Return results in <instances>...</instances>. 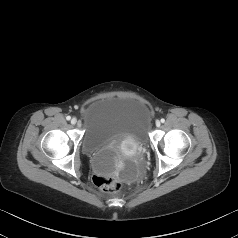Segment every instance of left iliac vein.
I'll return each instance as SVG.
<instances>
[{"instance_id": "1", "label": "left iliac vein", "mask_w": 238, "mask_h": 238, "mask_svg": "<svg viewBox=\"0 0 238 238\" xmlns=\"http://www.w3.org/2000/svg\"><path fill=\"white\" fill-rule=\"evenodd\" d=\"M155 124H156L157 127H160V125H161L160 121H156Z\"/></svg>"}]
</instances>
